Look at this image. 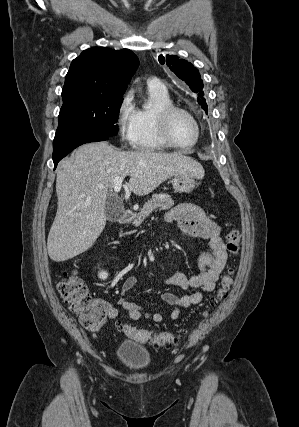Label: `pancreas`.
Instances as JSON below:
<instances>
[{
	"instance_id": "obj_1",
	"label": "pancreas",
	"mask_w": 299,
	"mask_h": 427,
	"mask_svg": "<svg viewBox=\"0 0 299 427\" xmlns=\"http://www.w3.org/2000/svg\"><path fill=\"white\" fill-rule=\"evenodd\" d=\"M174 205L171 196L168 194H154L150 200H148L145 205L138 212L133 225L138 227L149 215L151 212L160 209L167 210Z\"/></svg>"
}]
</instances>
